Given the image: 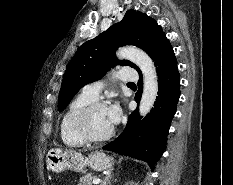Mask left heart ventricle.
I'll return each instance as SVG.
<instances>
[{
	"mask_svg": "<svg viewBox=\"0 0 233 185\" xmlns=\"http://www.w3.org/2000/svg\"><path fill=\"white\" fill-rule=\"evenodd\" d=\"M89 131L93 136H103L107 134L113 127L109 120L107 108H97L89 116Z\"/></svg>",
	"mask_w": 233,
	"mask_h": 185,
	"instance_id": "1",
	"label": "left heart ventricle"
}]
</instances>
